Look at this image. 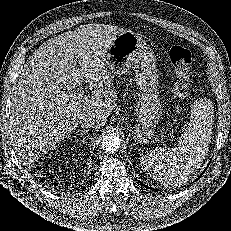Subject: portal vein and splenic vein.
<instances>
[{
    "label": "portal vein and splenic vein",
    "mask_w": 231,
    "mask_h": 231,
    "mask_svg": "<svg viewBox=\"0 0 231 231\" xmlns=\"http://www.w3.org/2000/svg\"><path fill=\"white\" fill-rule=\"evenodd\" d=\"M62 97H63L64 99H69V98H70V96L66 95L65 93L62 94Z\"/></svg>",
    "instance_id": "18ae733b"
}]
</instances>
